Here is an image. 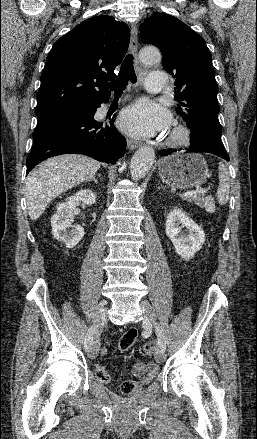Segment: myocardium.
<instances>
[{
	"mask_svg": "<svg viewBox=\"0 0 257 439\" xmlns=\"http://www.w3.org/2000/svg\"><path fill=\"white\" fill-rule=\"evenodd\" d=\"M189 138V131L185 127L175 126L171 130L170 135L166 139L165 143L169 147L176 148L186 145L189 141Z\"/></svg>",
	"mask_w": 257,
	"mask_h": 439,
	"instance_id": "1",
	"label": "myocardium"
}]
</instances>
